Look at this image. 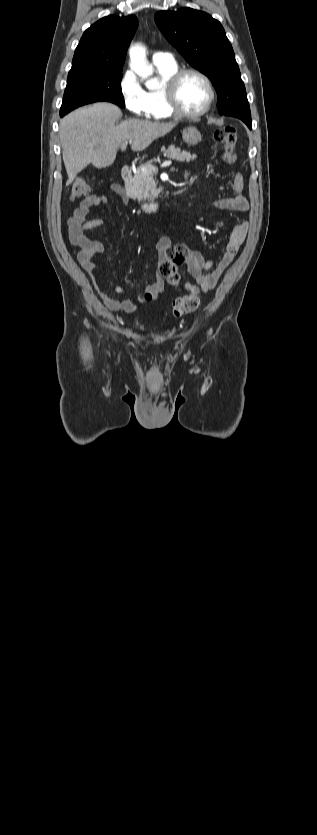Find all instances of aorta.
Listing matches in <instances>:
<instances>
[{
  "label": "aorta",
  "instance_id": "obj_1",
  "mask_svg": "<svg viewBox=\"0 0 317 835\" xmlns=\"http://www.w3.org/2000/svg\"><path fill=\"white\" fill-rule=\"evenodd\" d=\"M130 67L145 81L147 88L154 89L159 87L158 78L152 77L153 68L148 64L146 50L140 44H136L130 48Z\"/></svg>",
  "mask_w": 317,
  "mask_h": 835
}]
</instances>
